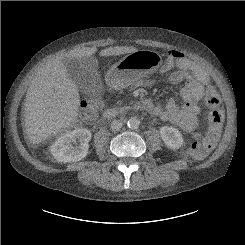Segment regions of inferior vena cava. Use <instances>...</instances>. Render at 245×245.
Here are the masks:
<instances>
[{"label": "inferior vena cava", "mask_w": 245, "mask_h": 245, "mask_svg": "<svg viewBox=\"0 0 245 245\" xmlns=\"http://www.w3.org/2000/svg\"><path fill=\"white\" fill-rule=\"evenodd\" d=\"M123 123L120 120H113L111 122L112 131H119L122 128Z\"/></svg>", "instance_id": "602c4592"}]
</instances>
